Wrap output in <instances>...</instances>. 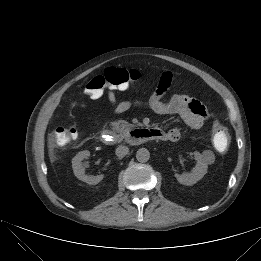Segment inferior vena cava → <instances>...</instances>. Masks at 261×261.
I'll use <instances>...</instances> for the list:
<instances>
[{"mask_svg":"<svg viewBox=\"0 0 261 261\" xmlns=\"http://www.w3.org/2000/svg\"><path fill=\"white\" fill-rule=\"evenodd\" d=\"M129 152V148L127 146H118L116 149V155L120 158H123L124 156H126Z\"/></svg>","mask_w":261,"mask_h":261,"instance_id":"1","label":"inferior vena cava"}]
</instances>
